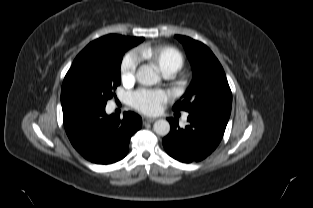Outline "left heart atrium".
<instances>
[{
	"mask_svg": "<svg viewBox=\"0 0 313 208\" xmlns=\"http://www.w3.org/2000/svg\"><path fill=\"white\" fill-rule=\"evenodd\" d=\"M167 99L168 96L164 91L147 89L137 90L130 98L135 109L148 115L159 113Z\"/></svg>",
	"mask_w": 313,
	"mask_h": 208,
	"instance_id": "1",
	"label": "left heart atrium"
}]
</instances>
